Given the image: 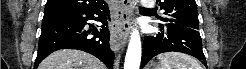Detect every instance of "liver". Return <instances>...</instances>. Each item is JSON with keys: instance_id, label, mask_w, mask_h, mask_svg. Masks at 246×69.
Here are the masks:
<instances>
[{"instance_id": "6515ba94", "label": "liver", "mask_w": 246, "mask_h": 69, "mask_svg": "<svg viewBox=\"0 0 246 69\" xmlns=\"http://www.w3.org/2000/svg\"><path fill=\"white\" fill-rule=\"evenodd\" d=\"M38 69H105V66L83 51L62 49L46 57Z\"/></svg>"}]
</instances>
